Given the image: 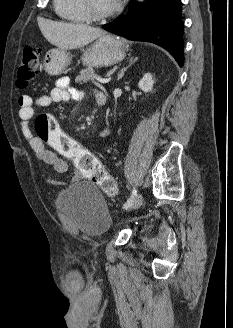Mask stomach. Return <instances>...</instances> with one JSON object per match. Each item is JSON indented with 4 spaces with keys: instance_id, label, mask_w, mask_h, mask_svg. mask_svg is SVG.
<instances>
[{
    "instance_id": "stomach-1",
    "label": "stomach",
    "mask_w": 233,
    "mask_h": 328,
    "mask_svg": "<svg viewBox=\"0 0 233 328\" xmlns=\"http://www.w3.org/2000/svg\"><path fill=\"white\" fill-rule=\"evenodd\" d=\"M125 42L115 35L104 33L95 42L82 49L81 60L90 67L111 66L125 57ZM67 50L51 49L44 58V70L49 75H59L70 64Z\"/></svg>"
}]
</instances>
